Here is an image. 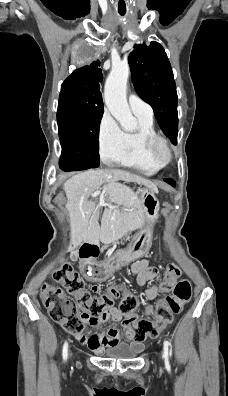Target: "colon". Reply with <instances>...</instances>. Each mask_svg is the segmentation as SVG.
<instances>
[{
	"label": "colon",
	"mask_w": 228,
	"mask_h": 396,
	"mask_svg": "<svg viewBox=\"0 0 228 396\" xmlns=\"http://www.w3.org/2000/svg\"><path fill=\"white\" fill-rule=\"evenodd\" d=\"M180 270L175 265L167 268L162 282L159 284L162 293H170L162 297L154 306V319H137L132 313L137 307L134 294L122 287L111 286L100 296L92 295L86 288L84 281L73 267L66 262L60 263L54 270L53 278L60 283L68 295L59 287L44 285L41 298L50 318L59 323L72 334L82 333L85 324L99 326L110 318V309L121 296L120 313L126 315L123 326L134 330L135 339L143 341L153 338L170 324L175 314L179 313L192 295L191 285L187 280L177 278Z\"/></svg>",
	"instance_id": "colon-1"
}]
</instances>
